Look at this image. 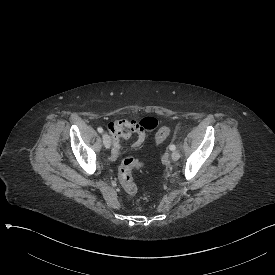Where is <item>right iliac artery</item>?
Masks as SVG:
<instances>
[{"label": "right iliac artery", "mask_w": 275, "mask_h": 275, "mask_svg": "<svg viewBox=\"0 0 275 275\" xmlns=\"http://www.w3.org/2000/svg\"><path fill=\"white\" fill-rule=\"evenodd\" d=\"M97 130H98L99 133H103V128L102 127H99Z\"/></svg>", "instance_id": "82829eb1"}]
</instances>
